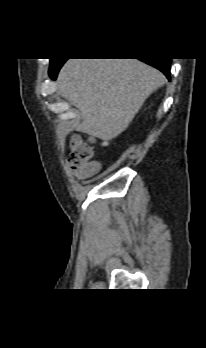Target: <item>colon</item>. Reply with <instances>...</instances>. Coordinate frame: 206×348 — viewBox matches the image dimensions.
<instances>
[{
  "instance_id": "5ec220e1",
  "label": "colon",
  "mask_w": 206,
  "mask_h": 348,
  "mask_svg": "<svg viewBox=\"0 0 206 348\" xmlns=\"http://www.w3.org/2000/svg\"><path fill=\"white\" fill-rule=\"evenodd\" d=\"M93 157V149L89 142L79 136H74L68 146V162L79 167L88 163Z\"/></svg>"
}]
</instances>
